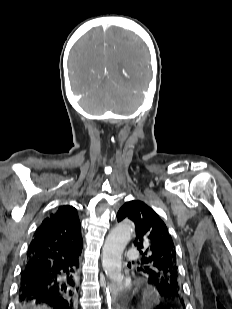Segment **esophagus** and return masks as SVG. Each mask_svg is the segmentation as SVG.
<instances>
[{
	"instance_id": "34e87169",
	"label": "esophagus",
	"mask_w": 232,
	"mask_h": 309,
	"mask_svg": "<svg viewBox=\"0 0 232 309\" xmlns=\"http://www.w3.org/2000/svg\"><path fill=\"white\" fill-rule=\"evenodd\" d=\"M105 302L109 309H120L116 303L117 290L112 283L106 282L104 285Z\"/></svg>"
}]
</instances>
